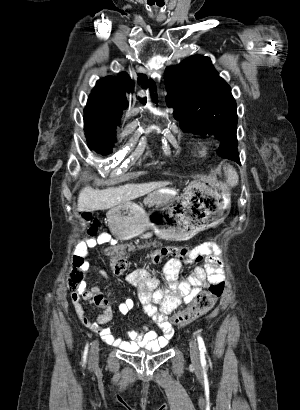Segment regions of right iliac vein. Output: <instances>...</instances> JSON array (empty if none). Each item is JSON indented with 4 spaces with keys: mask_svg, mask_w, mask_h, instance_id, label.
Returning <instances> with one entry per match:
<instances>
[{
    "mask_svg": "<svg viewBox=\"0 0 300 410\" xmlns=\"http://www.w3.org/2000/svg\"><path fill=\"white\" fill-rule=\"evenodd\" d=\"M98 347H99V344H98L97 341H95L92 344V347H91V350H90V363L91 364H95L98 360V354H99Z\"/></svg>",
    "mask_w": 300,
    "mask_h": 410,
    "instance_id": "right-iliac-vein-1",
    "label": "right iliac vein"
}]
</instances>
